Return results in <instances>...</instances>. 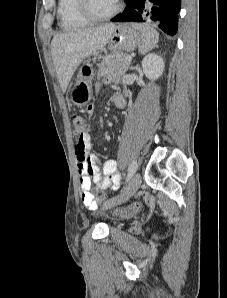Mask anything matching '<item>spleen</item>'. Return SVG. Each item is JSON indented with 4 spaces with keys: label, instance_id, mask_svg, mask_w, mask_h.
<instances>
[{
    "label": "spleen",
    "instance_id": "3e777b00",
    "mask_svg": "<svg viewBox=\"0 0 227 298\" xmlns=\"http://www.w3.org/2000/svg\"><path fill=\"white\" fill-rule=\"evenodd\" d=\"M133 27L138 29L142 35V41L139 46V53L145 54L153 49L159 39V33L149 25L134 23Z\"/></svg>",
    "mask_w": 227,
    "mask_h": 298
}]
</instances>
